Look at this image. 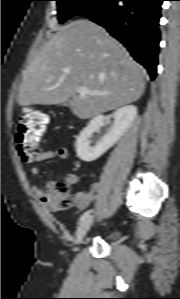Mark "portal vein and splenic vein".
I'll list each match as a JSON object with an SVG mask.
<instances>
[{
  "instance_id": "1",
  "label": "portal vein and splenic vein",
  "mask_w": 180,
  "mask_h": 299,
  "mask_svg": "<svg viewBox=\"0 0 180 299\" xmlns=\"http://www.w3.org/2000/svg\"><path fill=\"white\" fill-rule=\"evenodd\" d=\"M76 92L81 95H110V92H98V91H91L87 89L86 87H79L76 89Z\"/></svg>"
}]
</instances>
